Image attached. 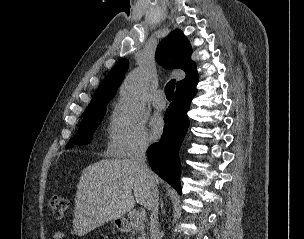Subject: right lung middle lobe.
<instances>
[{"label": "right lung middle lobe", "instance_id": "1", "mask_svg": "<svg viewBox=\"0 0 304 239\" xmlns=\"http://www.w3.org/2000/svg\"><path fill=\"white\" fill-rule=\"evenodd\" d=\"M106 107L101 106L85 111L82 115V120L79 130L72 140L66 145V148H71L75 145H84L90 143L92 135L96 127L100 124Z\"/></svg>", "mask_w": 304, "mask_h": 239}]
</instances>
